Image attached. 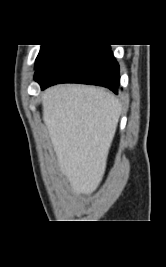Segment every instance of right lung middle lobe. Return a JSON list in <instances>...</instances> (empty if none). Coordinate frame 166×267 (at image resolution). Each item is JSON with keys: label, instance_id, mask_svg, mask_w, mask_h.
I'll return each mask as SVG.
<instances>
[{"label": "right lung middle lobe", "instance_id": "obj_1", "mask_svg": "<svg viewBox=\"0 0 166 267\" xmlns=\"http://www.w3.org/2000/svg\"><path fill=\"white\" fill-rule=\"evenodd\" d=\"M53 45H41L40 52L36 58L35 68L39 65L43 57L47 54V52L51 49Z\"/></svg>", "mask_w": 166, "mask_h": 267}]
</instances>
